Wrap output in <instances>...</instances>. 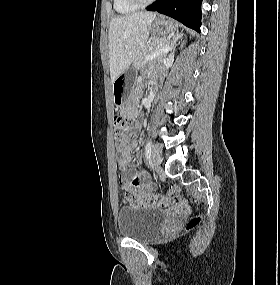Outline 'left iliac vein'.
<instances>
[{"instance_id":"obj_1","label":"left iliac vein","mask_w":280,"mask_h":285,"mask_svg":"<svg viewBox=\"0 0 280 285\" xmlns=\"http://www.w3.org/2000/svg\"><path fill=\"white\" fill-rule=\"evenodd\" d=\"M151 159H152V164L155 169H159L161 166V161H162V155H161V149L159 145H154L152 149V154H151Z\"/></svg>"}]
</instances>
